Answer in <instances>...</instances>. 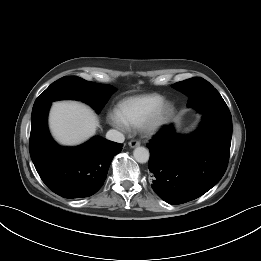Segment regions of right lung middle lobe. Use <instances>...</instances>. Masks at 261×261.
<instances>
[{
	"label": "right lung middle lobe",
	"mask_w": 261,
	"mask_h": 261,
	"mask_svg": "<svg viewBox=\"0 0 261 261\" xmlns=\"http://www.w3.org/2000/svg\"><path fill=\"white\" fill-rule=\"evenodd\" d=\"M114 90L111 85L89 82L76 76H65L52 83L36 99L32 111L55 100L76 99L89 104L100 113Z\"/></svg>",
	"instance_id": "dd1d6c3e"
}]
</instances>
